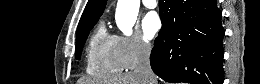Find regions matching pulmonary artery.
<instances>
[{
  "label": "pulmonary artery",
  "mask_w": 260,
  "mask_h": 84,
  "mask_svg": "<svg viewBox=\"0 0 260 84\" xmlns=\"http://www.w3.org/2000/svg\"><path fill=\"white\" fill-rule=\"evenodd\" d=\"M144 6L149 9H154L157 6V2L155 0H143Z\"/></svg>",
  "instance_id": "1"
}]
</instances>
